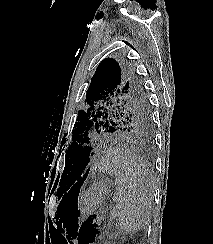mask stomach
I'll use <instances>...</instances> for the list:
<instances>
[{
  "label": "stomach",
  "mask_w": 213,
  "mask_h": 244,
  "mask_svg": "<svg viewBox=\"0 0 213 244\" xmlns=\"http://www.w3.org/2000/svg\"><path fill=\"white\" fill-rule=\"evenodd\" d=\"M111 187L112 183L109 179L93 182L82 198V211L85 213L95 211L106 199Z\"/></svg>",
  "instance_id": "1"
}]
</instances>
